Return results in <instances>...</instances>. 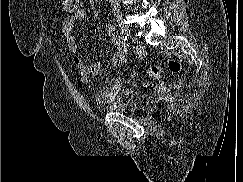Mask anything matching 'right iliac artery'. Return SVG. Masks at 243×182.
Wrapping results in <instances>:
<instances>
[{
	"label": "right iliac artery",
	"mask_w": 243,
	"mask_h": 182,
	"mask_svg": "<svg viewBox=\"0 0 243 182\" xmlns=\"http://www.w3.org/2000/svg\"><path fill=\"white\" fill-rule=\"evenodd\" d=\"M118 39L121 40L122 42H126L127 41V36L123 35V34H119L118 35Z\"/></svg>",
	"instance_id": "82829eb1"
}]
</instances>
